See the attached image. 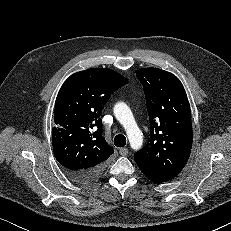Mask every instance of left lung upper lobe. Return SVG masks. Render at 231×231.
Listing matches in <instances>:
<instances>
[{"label": "left lung upper lobe", "mask_w": 231, "mask_h": 231, "mask_svg": "<svg viewBox=\"0 0 231 231\" xmlns=\"http://www.w3.org/2000/svg\"><path fill=\"white\" fill-rule=\"evenodd\" d=\"M137 78L143 85L150 122V141L134 155L153 167L180 173L192 147L190 105L180 80L159 68H142Z\"/></svg>", "instance_id": "left-lung-upper-lobe-1"}]
</instances>
